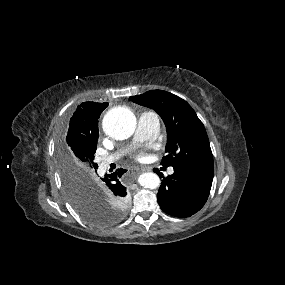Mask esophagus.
Here are the masks:
<instances>
[{
    "mask_svg": "<svg viewBox=\"0 0 285 285\" xmlns=\"http://www.w3.org/2000/svg\"><path fill=\"white\" fill-rule=\"evenodd\" d=\"M141 170L144 172H149V171H151V168L148 166H143V167H141Z\"/></svg>",
    "mask_w": 285,
    "mask_h": 285,
    "instance_id": "obj_1",
    "label": "esophagus"
}]
</instances>
